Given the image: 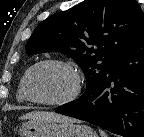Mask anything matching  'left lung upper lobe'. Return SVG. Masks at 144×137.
<instances>
[{
  "label": "left lung upper lobe",
  "mask_w": 144,
  "mask_h": 137,
  "mask_svg": "<svg viewBox=\"0 0 144 137\" xmlns=\"http://www.w3.org/2000/svg\"><path fill=\"white\" fill-rule=\"evenodd\" d=\"M143 27L144 13L135 0H85L42 21L26 51H60L74 59L85 74L86 93L99 84L109 65L135 42Z\"/></svg>",
  "instance_id": "left-lung-upper-lobe-1"
}]
</instances>
